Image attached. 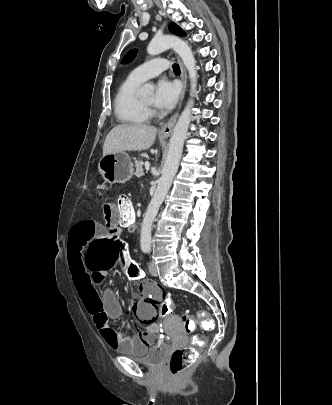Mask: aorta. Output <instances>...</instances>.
I'll return each mask as SVG.
<instances>
[{
    "label": "aorta",
    "mask_w": 332,
    "mask_h": 405,
    "mask_svg": "<svg viewBox=\"0 0 332 405\" xmlns=\"http://www.w3.org/2000/svg\"><path fill=\"white\" fill-rule=\"evenodd\" d=\"M172 48L181 57L186 69L189 73L191 90H196L197 86V71L195 69L196 61L190 46L178 37L165 35L155 36L147 47V52L151 56L158 55L165 50ZM152 89L150 84H145L143 90L147 91ZM194 101L190 99L180 114L178 121L173 129L172 136L169 142V149L167 158L162 170V175L158 180L155 194L151 199L145 217L143 219L140 243L141 246H150L151 244V231L153 221L167 195L173 179L179 167V161L183 151L184 141L186 139L189 124L191 122Z\"/></svg>",
    "instance_id": "obj_1"
}]
</instances>
